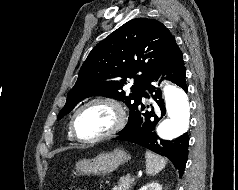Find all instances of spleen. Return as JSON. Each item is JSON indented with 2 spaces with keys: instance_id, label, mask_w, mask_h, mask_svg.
I'll list each match as a JSON object with an SVG mask.
<instances>
[{
  "instance_id": "spleen-1",
  "label": "spleen",
  "mask_w": 238,
  "mask_h": 190,
  "mask_svg": "<svg viewBox=\"0 0 238 190\" xmlns=\"http://www.w3.org/2000/svg\"><path fill=\"white\" fill-rule=\"evenodd\" d=\"M146 173L148 175H156L166 166V160L151 151H146Z\"/></svg>"
}]
</instances>
